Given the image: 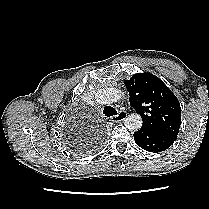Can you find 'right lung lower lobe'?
I'll return each instance as SVG.
<instances>
[{"label": "right lung lower lobe", "instance_id": "98d812e1", "mask_svg": "<svg viewBox=\"0 0 209 209\" xmlns=\"http://www.w3.org/2000/svg\"><path fill=\"white\" fill-rule=\"evenodd\" d=\"M99 145L100 141L98 140H85L82 142H74L71 148L78 154L84 155L94 152Z\"/></svg>", "mask_w": 209, "mask_h": 209}]
</instances>
